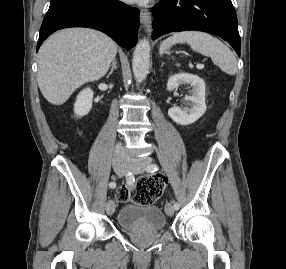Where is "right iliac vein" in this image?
Masks as SVG:
<instances>
[{"mask_svg": "<svg viewBox=\"0 0 286 269\" xmlns=\"http://www.w3.org/2000/svg\"><path fill=\"white\" fill-rule=\"evenodd\" d=\"M127 171L126 166H120L116 169V173L120 176L124 175ZM115 211V204L113 201L109 200L106 204V212L108 215H112Z\"/></svg>", "mask_w": 286, "mask_h": 269, "instance_id": "1", "label": "right iliac vein"}]
</instances>
